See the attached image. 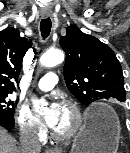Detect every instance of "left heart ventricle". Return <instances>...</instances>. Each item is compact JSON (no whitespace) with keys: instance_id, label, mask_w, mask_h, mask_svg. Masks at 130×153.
<instances>
[{"instance_id":"obj_1","label":"left heart ventricle","mask_w":130,"mask_h":153,"mask_svg":"<svg viewBox=\"0 0 130 153\" xmlns=\"http://www.w3.org/2000/svg\"><path fill=\"white\" fill-rule=\"evenodd\" d=\"M72 123L73 115L71 111L62 105L58 118L52 128L59 132H65L71 127Z\"/></svg>"}]
</instances>
